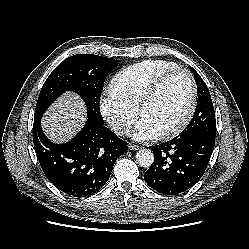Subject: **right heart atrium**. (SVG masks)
Segmentation results:
<instances>
[{"label":"right heart atrium","instance_id":"right-heart-atrium-1","mask_svg":"<svg viewBox=\"0 0 249 249\" xmlns=\"http://www.w3.org/2000/svg\"><path fill=\"white\" fill-rule=\"evenodd\" d=\"M99 109L103 118L117 134L127 132L137 118V109L120 99L111 89L102 95Z\"/></svg>","mask_w":249,"mask_h":249}]
</instances>
